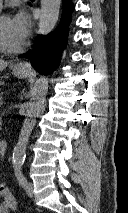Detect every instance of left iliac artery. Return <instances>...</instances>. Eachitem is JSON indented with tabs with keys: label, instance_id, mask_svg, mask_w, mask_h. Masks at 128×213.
<instances>
[{
	"label": "left iliac artery",
	"instance_id": "obj_1",
	"mask_svg": "<svg viewBox=\"0 0 128 213\" xmlns=\"http://www.w3.org/2000/svg\"><path fill=\"white\" fill-rule=\"evenodd\" d=\"M15 170V176L19 182V184L24 187L26 185V177L24 176L23 172H22V166L21 165H16L14 167Z\"/></svg>",
	"mask_w": 128,
	"mask_h": 213
}]
</instances>
